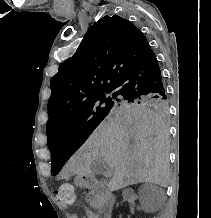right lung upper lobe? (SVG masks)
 Masks as SVG:
<instances>
[{
    "label": "right lung upper lobe",
    "mask_w": 211,
    "mask_h": 218,
    "mask_svg": "<svg viewBox=\"0 0 211 218\" xmlns=\"http://www.w3.org/2000/svg\"><path fill=\"white\" fill-rule=\"evenodd\" d=\"M151 51L142 32L127 19L114 15L98 20L51 79L47 129L63 114L112 90Z\"/></svg>",
    "instance_id": "obj_1"
}]
</instances>
